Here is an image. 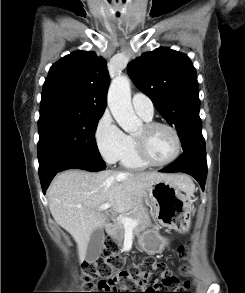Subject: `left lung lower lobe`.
<instances>
[{"mask_svg": "<svg viewBox=\"0 0 245 293\" xmlns=\"http://www.w3.org/2000/svg\"><path fill=\"white\" fill-rule=\"evenodd\" d=\"M160 172H183L194 177L204 191L207 177L206 154L187 151Z\"/></svg>", "mask_w": 245, "mask_h": 293, "instance_id": "0a47b994", "label": "left lung lower lobe"}]
</instances>
